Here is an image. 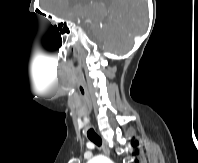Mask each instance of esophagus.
Segmentation results:
<instances>
[{
  "instance_id": "1",
  "label": "esophagus",
  "mask_w": 198,
  "mask_h": 163,
  "mask_svg": "<svg viewBox=\"0 0 198 163\" xmlns=\"http://www.w3.org/2000/svg\"><path fill=\"white\" fill-rule=\"evenodd\" d=\"M102 149L106 155L110 154V149H109L108 144L105 140L102 141Z\"/></svg>"
}]
</instances>
